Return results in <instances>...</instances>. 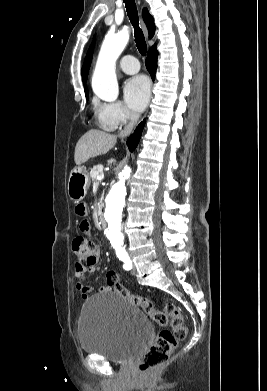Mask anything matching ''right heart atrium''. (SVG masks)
I'll use <instances>...</instances> for the list:
<instances>
[{"instance_id": "obj_1", "label": "right heart atrium", "mask_w": 267, "mask_h": 391, "mask_svg": "<svg viewBox=\"0 0 267 391\" xmlns=\"http://www.w3.org/2000/svg\"><path fill=\"white\" fill-rule=\"evenodd\" d=\"M96 114L100 123L110 129L119 128L135 120V115L121 102L98 103Z\"/></svg>"}]
</instances>
